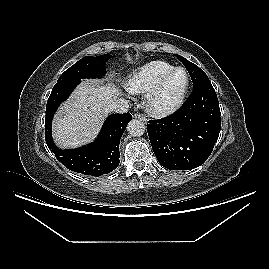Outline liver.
<instances>
[{
	"label": "liver",
	"mask_w": 269,
	"mask_h": 269,
	"mask_svg": "<svg viewBox=\"0 0 269 269\" xmlns=\"http://www.w3.org/2000/svg\"><path fill=\"white\" fill-rule=\"evenodd\" d=\"M119 87L109 82L96 86L82 82L64 103L53 121V137L61 148L89 142L99 131L109 105L121 96Z\"/></svg>",
	"instance_id": "6515ba94"
}]
</instances>
